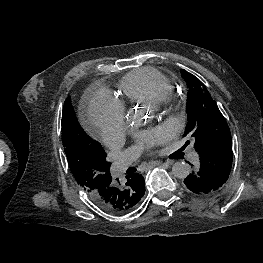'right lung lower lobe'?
Instances as JSON below:
<instances>
[{"label": "right lung lower lobe", "mask_w": 263, "mask_h": 263, "mask_svg": "<svg viewBox=\"0 0 263 263\" xmlns=\"http://www.w3.org/2000/svg\"><path fill=\"white\" fill-rule=\"evenodd\" d=\"M126 178V183L120 184L113 182L110 177L103 187L88 194L90 200L101 209L115 213L118 208L126 203L129 193L128 185L130 183H143L145 186L144 178L139 174L127 175Z\"/></svg>", "instance_id": "98d812e1"}]
</instances>
